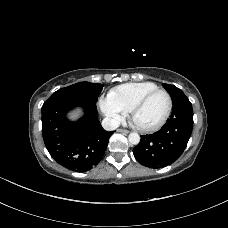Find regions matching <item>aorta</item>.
I'll list each match as a JSON object with an SVG mask.
<instances>
[{
    "instance_id": "1",
    "label": "aorta",
    "mask_w": 228,
    "mask_h": 228,
    "mask_svg": "<svg viewBox=\"0 0 228 228\" xmlns=\"http://www.w3.org/2000/svg\"><path fill=\"white\" fill-rule=\"evenodd\" d=\"M128 140L131 144L137 145L140 142V136L138 133H130L128 136Z\"/></svg>"
}]
</instances>
